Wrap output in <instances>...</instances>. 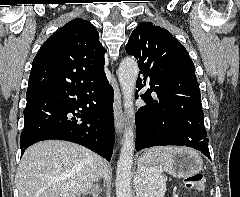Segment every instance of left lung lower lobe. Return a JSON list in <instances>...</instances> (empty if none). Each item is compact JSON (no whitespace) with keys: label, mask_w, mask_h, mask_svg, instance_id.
Masks as SVG:
<instances>
[{"label":"left lung lower lobe","mask_w":240,"mask_h":197,"mask_svg":"<svg viewBox=\"0 0 240 197\" xmlns=\"http://www.w3.org/2000/svg\"><path fill=\"white\" fill-rule=\"evenodd\" d=\"M145 84L150 86L144 75L143 80L137 81L138 91ZM152 92L157 93L158 100L151 97ZM141 98L147 105L136 113L137 151L152 146L180 145L195 148L211 159L198 89L159 92L148 88Z\"/></svg>","instance_id":"left-lung-lower-lobe-1"}]
</instances>
